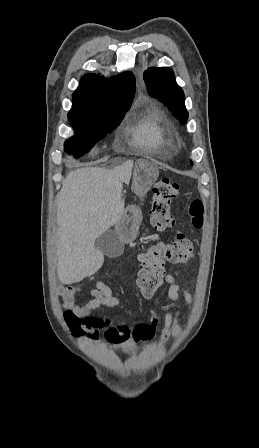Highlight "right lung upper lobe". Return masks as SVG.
<instances>
[{
  "label": "right lung upper lobe",
  "instance_id": "1",
  "mask_svg": "<svg viewBox=\"0 0 259 448\" xmlns=\"http://www.w3.org/2000/svg\"><path fill=\"white\" fill-rule=\"evenodd\" d=\"M135 85L131 72L110 79L87 74L73 94V107L68 115L130 108Z\"/></svg>",
  "mask_w": 259,
  "mask_h": 448
}]
</instances>
